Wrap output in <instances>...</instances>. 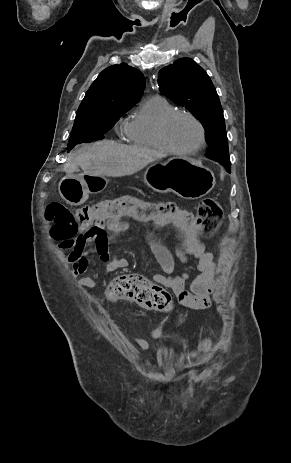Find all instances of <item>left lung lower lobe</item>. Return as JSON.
<instances>
[{"instance_id": "1", "label": "left lung lower lobe", "mask_w": 291, "mask_h": 463, "mask_svg": "<svg viewBox=\"0 0 291 463\" xmlns=\"http://www.w3.org/2000/svg\"><path fill=\"white\" fill-rule=\"evenodd\" d=\"M214 161L219 162L221 165L225 167V169L230 173L231 172V163L230 162H225L224 160L216 159Z\"/></svg>"}]
</instances>
